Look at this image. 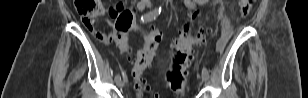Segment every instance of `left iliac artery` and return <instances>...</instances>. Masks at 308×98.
<instances>
[{
    "label": "left iliac artery",
    "instance_id": "left-iliac-artery-1",
    "mask_svg": "<svg viewBox=\"0 0 308 98\" xmlns=\"http://www.w3.org/2000/svg\"><path fill=\"white\" fill-rule=\"evenodd\" d=\"M202 74L206 75L207 77L209 76V75H208V72H207V70H206L205 68H203Z\"/></svg>",
    "mask_w": 308,
    "mask_h": 98
}]
</instances>
